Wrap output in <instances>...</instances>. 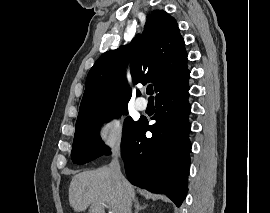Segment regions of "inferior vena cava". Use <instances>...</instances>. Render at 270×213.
Returning <instances> with one entry per match:
<instances>
[{
    "label": "inferior vena cava",
    "instance_id": "1",
    "mask_svg": "<svg viewBox=\"0 0 270 213\" xmlns=\"http://www.w3.org/2000/svg\"><path fill=\"white\" fill-rule=\"evenodd\" d=\"M118 157H119V151L116 150L113 153V159H112L109 167L111 169V172H112L114 178H116L117 180L122 182V181H124V177H123L121 170H120V164H119ZM128 213H131V211L129 210Z\"/></svg>",
    "mask_w": 270,
    "mask_h": 213
}]
</instances>
